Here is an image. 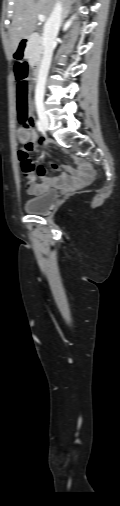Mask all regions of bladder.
<instances>
[{"label": "bladder", "instance_id": "1", "mask_svg": "<svg viewBox=\"0 0 120 506\" xmlns=\"http://www.w3.org/2000/svg\"><path fill=\"white\" fill-rule=\"evenodd\" d=\"M57 192L54 190L47 191L40 196L27 198L24 201V209L32 214H43L57 201Z\"/></svg>", "mask_w": 120, "mask_h": 506}]
</instances>
